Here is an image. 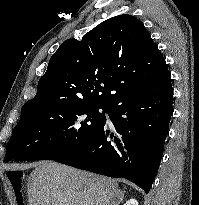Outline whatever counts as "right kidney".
<instances>
[{
  "mask_svg": "<svg viewBox=\"0 0 199 205\" xmlns=\"http://www.w3.org/2000/svg\"><path fill=\"white\" fill-rule=\"evenodd\" d=\"M124 205H138V202L135 199H130Z\"/></svg>",
  "mask_w": 199,
  "mask_h": 205,
  "instance_id": "ca27d5eb",
  "label": "right kidney"
}]
</instances>
